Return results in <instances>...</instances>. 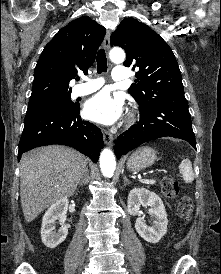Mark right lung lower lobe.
I'll use <instances>...</instances> for the list:
<instances>
[{"instance_id":"right-lung-lower-lobe-1","label":"right lung lower lobe","mask_w":221,"mask_h":274,"mask_svg":"<svg viewBox=\"0 0 221 274\" xmlns=\"http://www.w3.org/2000/svg\"><path fill=\"white\" fill-rule=\"evenodd\" d=\"M76 107H56L31 112L25 116V126L19 142L18 160L30 149L50 145H68L95 163L103 148V135L94 124L81 119Z\"/></svg>"}]
</instances>
